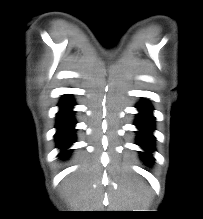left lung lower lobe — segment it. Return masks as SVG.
<instances>
[{"label":"left lung lower lobe","mask_w":203,"mask_h":219,"mask_svg":"<svg viewBox=\"0 0 203 219\" xmlns=\"http://www.w3.org/2000/svg\"><path fill=\"white\" fill-rule=\"evenodd\" d=\"M139 110L135 125L139 129L137 142L138 145L146 150L142 152V159L147 163L153 161V157L150 152L154 150V136L152 131L154 130V116L152 115L153 108L146 101H142L136 106Z\"/></svg>","instance_id":"1"}]
</instances>
